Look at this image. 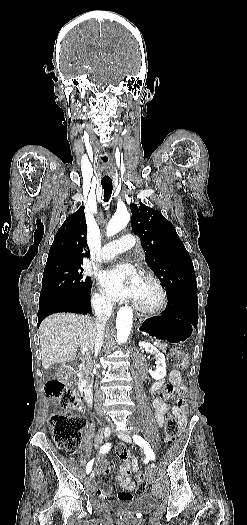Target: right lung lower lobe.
Masks as SVG:
<instances>
[{"instance_id":"98d812e1","label":"right lung lower lobe","mask_w":247,"mask_h":525,"mask_svg":"<svg viewBox=\"0 0 247 525\" xmlns=\"http://www.w3.org/2000/svg\"><path fill=\"white\" fill-rule=\"evenodd\" d=\"M55 312H72L87 314L91 312L89 291L84 297L76 298H55L39 304L38 326L42 320Z\"/></svg>"}]
</instances>
